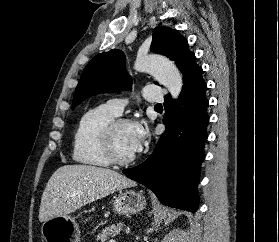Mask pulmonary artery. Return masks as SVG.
Instances as JSON below:
<instances>
[{
	"label": "pulmonary artery",
	"instance_id": "obj_1",
	"mask_svg": "<svg viewBox=\"0 0 279 242\" xmlns=\"http://www.w3.org/2000/svg\"><path fill=\"white\" fill-rule=\"evenodd\" d=\"M144 98L149 102L159 103L162 101L161 87L157 85H147L143 89ZM126 105V100L114 98L107 102L106 106L115 114L120 115Z\"/></svg>",
	"mask_w": 279,
	"mask_h": 242
}]
</instances>
